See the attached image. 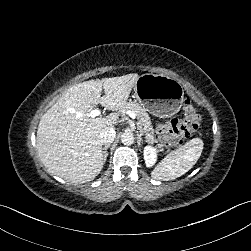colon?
Segmentation results:
<instances>
[{
    "instance_id": "colon-1",
    "label": "colon",
    "mask_w": 251,
    "mask_h": 251,
    "mask_svg": "<svg viewBox=\"0 0 251 251\" xmlns=\"http://www.w3.org/2000/svg\"><path fill=\"white\" fill-rule=\"evenodd\" d=\"M201 116L190 99L183 101V117L157 127V137L166 146H179L199 127Z\"/></svg>"
}]
</instances>
